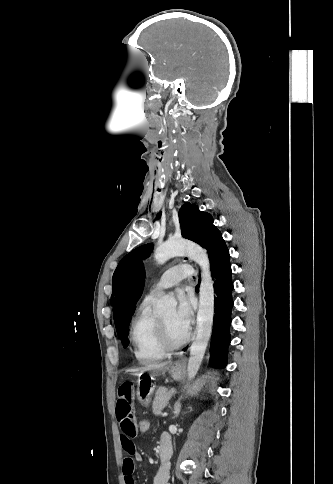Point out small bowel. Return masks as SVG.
Segmentation results:
<instances>
[{
  "label": "small bowel",
  "instance_id": "c3829d8e",
  "mask_svg": "<svg viewBox=\"0 0 333 484\" xmlns=\"http://www.w3.org/2000/svg\"><path fill=\"white\" fill-rule=\"evenodd\" d=\"M135 386L130 381L123 382L117 393L115 406L116 417L121 429V444L126 456L123 458L122 471L125 484H135V463L142 461V456L136 451L134 439L138 435L137 416L134 406ZM170 440L167 434H163L161 440ZM169 468L161 467L154 476L153 484H168Z\"/></svg>",
  "mask_w": 333,
  "mask_h": 484
}]
</instances>
